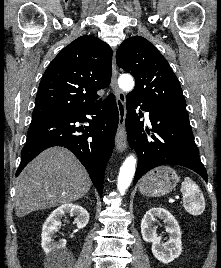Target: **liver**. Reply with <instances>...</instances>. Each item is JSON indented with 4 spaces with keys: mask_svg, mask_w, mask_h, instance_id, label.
<instances>
[{
    "mask_svg": "<svg viewBox=\"0 0 221 268\" xmlns=\"http://www.w3.org/2000/svg\"><path fill=\"white\" fill-rule=\"evenodd\" d=\"M91 179L67 149L52 147L43 151L21 172L16 181L15 211L18 217L57 207L83 197Z\"/></svg>",
    "mask_w": 221,
    "mask_h": 268,
    "instance_id": "6515ba94",
    "label": "liver"
}]
</instances>
